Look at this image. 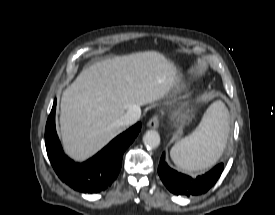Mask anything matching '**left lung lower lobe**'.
<instances>
[{
  "mask_svg": "<svg viewBox=\"0 0 275 215\" xmlns=\"http://www.w3.org/2000/svg\"><path fill=\"white\" fill-rule=\"evenodd\" d=\"M164 159L163 153L158 166L162 182L171 193L188 197L206 193L216 183L224 168L221 163L203 175L191 177L171 169Z\"/></svg>",
  "mask_w": 275,
  "mask_h": 215,
  "instance_id": "left-lung-lower-lobe-1",
  "label": "left lung lower lobe"
}]
</instances>
